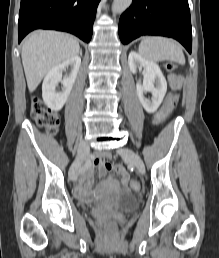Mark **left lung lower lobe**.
I'll return each mask as SVG.
<instances>
[{
  "label": "left lung lower lobe",
  "instance_id": "obj_1",
  "mask_svg": "<svg viewBox=\"0 0 219 258\" xmlns=\"http://www.w3.org/2000/svg\"><path fill=\"white\" fill-rule=\"evenodd\" d=\"M143 35L172 37L191 53L188 0H133L120 17L119 37L123 44H128Z\"/></svg>",
  "mask_w": 219,
  "mask_h": 258
}]
</instances>
